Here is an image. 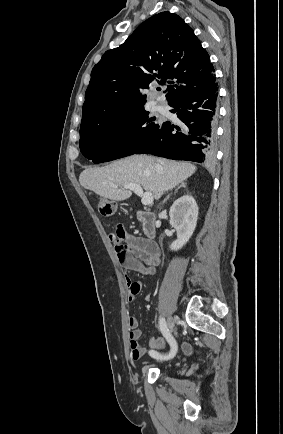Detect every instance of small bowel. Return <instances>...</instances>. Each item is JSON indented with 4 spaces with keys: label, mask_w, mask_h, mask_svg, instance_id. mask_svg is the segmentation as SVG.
<instances>
[{
    "label": "small bowel",
    "mask_w": 283,
    "mask_h": 434,
    "mask_svg": "<svg viewBox=\"0 0 283 434\" xmlns=\"http://www.w3.org/2000/svg\"><path fill=\"white\" fill-rule=\"evenodd\" d=\"M109 240L114 244L115 254L126 272L135 271L146 276L155 273L160 263V250L155 243H150L145 238L126 233L120 224L117 225L116 231L109 235ZM126 282L128 298L129 301H132L141 291L143 283L141 281H133L129 277H127ZM128 326L130 329L129 344L131 357L134 360H138L147 353L148 349L142 347L138 342L143 333L138 328V321L134 316L129 317ZM165 339L163 337L155 338L149 336L148 343L151 348L150 350L164 348L166 345ZM182 349L186 354L192 352L191 346L188 343H184Z\"/></svg>",
    "instance_id": "obj_1"
}]
</instances>
